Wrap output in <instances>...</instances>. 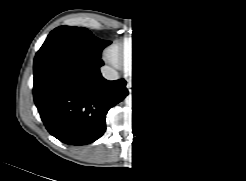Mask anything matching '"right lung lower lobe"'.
<instances>
[{"label": "right lung lower lobe", "mask_w": 246, "mask_h": 181, "mask_svg": "<svg viewBox=\"0 0 246 181\" xmlns=\"http://www.w3.org/2000/svg\"><path fill=\"white\" fill-rule=\"evenodd\" d=\"M100 67L70 51L34 64L36 107L49 133L61 142L85 145L100 138L108 110L127 96L125 79L108 81Z\"/></svg>", "instance_id": "1"}]
</instances>
